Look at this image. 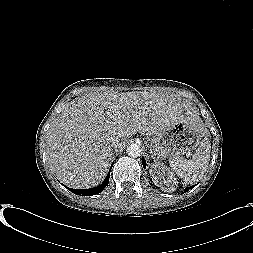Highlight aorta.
Here are the masks:
<instances>
[{
	"mask_svg": "<svg viewBox=\"0 0 253 253\" xmlns=\"http://www.w3.org/2000/svg\"><path fill=\"white\" fill-rule=\"evenodd\" d=\"M126 152L130 157L136 158L142 154V149L138 144H130Z\"/></svg>",
	"mask_w": 253,
	"mask_h": 253,
	"instance_id": "762f6f07",
	"label": "aorta"
}]
</instances>
